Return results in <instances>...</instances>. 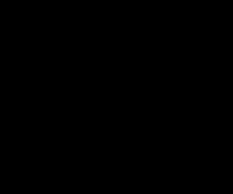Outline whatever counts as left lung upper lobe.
I'll return each mask as SVG.
<instances>
[{
    "instance_id": "1",
    "label": "left lung upper lobe",
    "mask_w": 233,
    "mask_h": 194,
    "mask_svg": "<svg viewBox=\"0 0 233 194\" xmlns=\"http://www.w3.org/2000/svg\"><path fill=\"white\" fill-rule=\"evenodd\" d=\"M147 123L157 152H182L193 136L197 102L185 89L168 82L148 86L143 97Z\"/></svg>"
}]
</instances>
